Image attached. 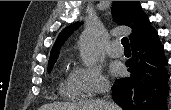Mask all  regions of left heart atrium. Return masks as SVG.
<instances>
[{
	"mask_svg": "<svg viewBox=\"0 0 171 110\" xmlns=\"http://www.w3.org/2000/svg\"><path fill=\"white\" fill-rule=\"evenodd\" d=\"M110 72L115 76L120 75L122 73V68H121L120 64L112 63L110 65Z\"/></svg>",
	"mask_w": 171,
	"mask_h": 110,
	"instance_id": "1",
	"label": "left heart atrium"
}]
</instances>
